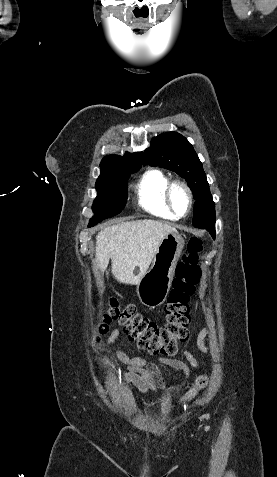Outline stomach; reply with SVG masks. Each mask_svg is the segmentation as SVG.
I'll return each instance as SVG.
<instances>
[{
  "mask_svg": "<svg viewBox=\"0 0 277 477\" xmlns=\"http://www.w3.org/2000/svg\"><path fill=\"white\" fill-rule=\"evenodd\" d=\"M184 244V239L177 232L169 233L162 239L151 268L137 284L136 294L140 303L155 308L166 300Z\"/></svg>",
  "mask_w": 277,
  "mask_h": 477,
  "instance_id": "1",
  "label": "stomach"
}]
</instances>
